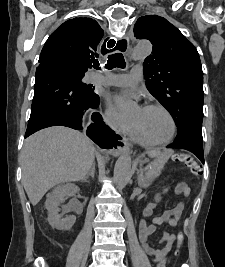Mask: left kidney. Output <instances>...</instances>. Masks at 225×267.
Wrapping results in <instances>:
<instances>
[{"label": "left kidney", "instance_id": "obj_1", "mask_svg": "<svg viewBox=\"0 0 225 267\" xmlns=\"http://www.w3.org/2000/svg\"><path fill=\"white\" fill-rule=\"evenodd\" d=\"M155 200H156L157 202H159V201L161 200V197H160L159 195H157V196L155 197Z\"/></svg>", "mask_w": 225, "mask_h": 267}]
</instances>
